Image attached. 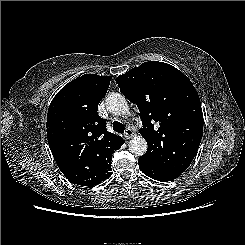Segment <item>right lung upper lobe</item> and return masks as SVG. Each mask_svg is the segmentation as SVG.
<instances>
[{
  "label": "right lung upper lobe",
  "instance_id": "obj_1",
  "mask_svg": "<svg viewBox=\"0 0 245 245\" xmlns=\"http://www.w3.org/2000/svg\"><path fill=\"white\" fill-rule=\"evenodd\" d=\"M110 76L86 74L64 86L53 98L47 114V138L58 166H73L82 186L101 182L95 167L99 150L113 151L124 143L107 131L106 120L98 113Z\"/></svg>",
  "mask_w": 245,
  "mask_h": 245
}]
</instances>
